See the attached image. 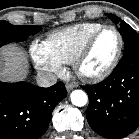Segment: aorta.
<instances>
[{
    "label": "aorta",
    "instance_id": "762f6f07",
    "mask_svg": "<svg viewBox=\"0 0 139 139\" xmlns=\"http://www.w3.org/2000/svg\"><path fill=\"white\" fill-rule=\"evenodd\" d=\"M70 99L73 105L82 107L88 102V96L83 90H74L70 94Z\"/></svg>",
    "mask_w": 139,
    "mask_h": 139
}]
</instances>
